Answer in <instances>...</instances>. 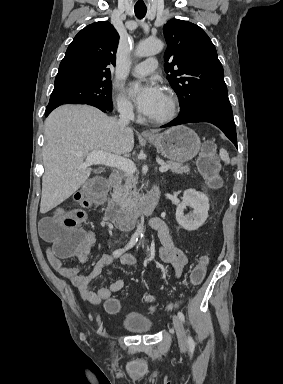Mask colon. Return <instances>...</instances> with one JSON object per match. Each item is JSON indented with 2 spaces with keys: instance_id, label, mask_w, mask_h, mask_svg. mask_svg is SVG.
Wrapping results in <instances>:
<instances>
[{
  "instance_id": "colon-1",
  "label": "colon",
  "mask_w": 283,
  "mask_h": 384,
  "mask_svg": "<svg viewBox=\"0 0 283 384\" xmlns=\"http://www.w3.org/2000/svg\"><path fill=\"white\" fill-rule=\"evenodd\" d=\"M197 167L212 188H218L221 185L216 147L212 142L204 145L197 160ZM106 192V181L101 177H93L77 194L76 200L79 205L77 209H73L61 217H47L41 222L40 233L44 239L53 243V248L58 256L63 258L76 256L87 246L90 235L83 229L86 222L84 209L100 205L105 199ZM208 262L207 256L199 259L198 264L191 271L192 285L197 286L203 281ZM153 300V296H146V301ZM104 307L107 312L116 313L120 310V302L118 299L110 298L105 301Z\"/></svg>"
}]
</instances>
